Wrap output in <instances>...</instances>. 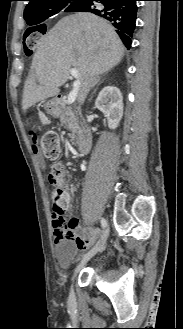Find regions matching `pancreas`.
I'll return each instance as SVG.
<instances>
[{
	"label": "pancreas",
	"mask_w": 183,
	"mask_h": 329,
	"mask_svg": "<svg viewBox=\"0 0 183 329\" xmlns=\"http://www.w3.org/2000/svg\"><path fill=\"white\" fill-rule=\"evenodd\" d=\"M56 116L60 118L61 125L71 132L70 137L74 138L79 127L78 114L62 103Z\"/></svg>",
	"instance_id": "pancreas-1"
}]
</instances>
